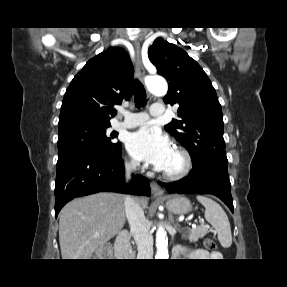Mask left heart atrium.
Segmentation results:
<instances>
[{
    "instance_id": "obj_1",
    "label": "left heart atrium",
    "mask_w": 287,
    "mask_h": 287,
    "mask_svg": "<svg viewBox=\"0 0 287 287\" xmlns=\"http://www.w3.org/2000/svg\"><path fill=\"white\" fill-rule=\"evenodd\" d=\"M127 149L137 160L163 170L172 152L168 138L160 131L143 127L127 139Z\"/></svg>"
}]
</instances>
